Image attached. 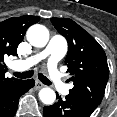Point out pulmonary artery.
<instances>
[{"label":"pulmonary artery","instance_id":"e3ab8cb5","mask_svg":"<svg viewBox=\"0 0 117 117\" xmlns=\"http://www.w3.org/2000/svg\"><path fill=\"white\" fill-rule=\"evenodd\" d=\"M66 50V40L62 36L55 35L51 38L50 42L44 50L26 59L16 61L12 67L15 70L22 71L44 59H47L48 74L52 85L60 93L67 94L69 92L70 86L64 83L62 76L57 68V64L65 55Z\"/></svg>","mask_w":117,"mask_h":117}]
</instances>
